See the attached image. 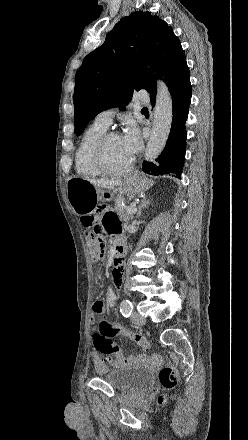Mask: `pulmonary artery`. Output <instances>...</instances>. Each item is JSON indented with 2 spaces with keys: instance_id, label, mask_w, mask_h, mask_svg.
Returning a JSON list of instances; mask_svg holds the SVG:
<instances>
[{
  "instance_id": "pulmonary-artery-1",
  "label": "pulmonary artery",
  "mask_w": 248,
  "mask_h": 440,
  "mask_svg": "<svg viewBox=\"0 0 248 440\" xmlns=\"http://www.w3.org/2000/svg\"><path fill=\"white\" fill-rule=\"evenodd\" d=\"M137 96L141 101L147 102V95L144 92H139ZM116 112L117 108L104 110L96 116L95 122L104 126L105 128H108L111 125Z\"/></svg>"
}]
</instances>
